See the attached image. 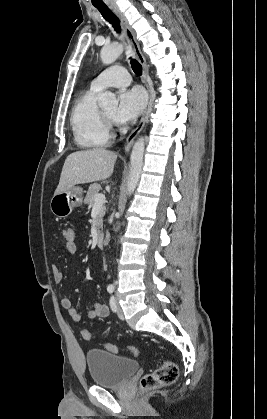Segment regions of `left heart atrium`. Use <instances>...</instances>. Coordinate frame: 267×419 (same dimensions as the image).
I'll use <instances>...</instances> for the list:
<instances>
[{"mask_svg":"<svg viewBox=\"0 0 267 419\" xmlns=\"http://www.w3.org/2000/svg\"><path fill=\"white\" fill-rule=\"evenodd\" d=\"M146 96L139 88H132L121 92L115 120L119 123L134 121L143 111Z\"/></svg>","mask_w":267,"mask_h":419,"instance_id":"1","label":"left heart atrium"}]
</instances>
